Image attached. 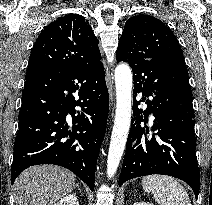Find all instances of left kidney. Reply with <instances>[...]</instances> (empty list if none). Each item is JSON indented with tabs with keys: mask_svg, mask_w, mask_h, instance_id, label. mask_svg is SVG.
Here are the masks:
<instances>
[{
	"mask_svg": "<svg viewBox=\"0 0 212 205\" xmlns=\"http://www.w3.org/2000/svg\"><path fill=\"white\" fill-rule=\"evenodd\" d=\"M134 205H154V204L146 203V202H136L134 203Z\"/></svg>",
	"mask_w": 212,
	"mask_h": 205,
	"instance_id": "left-kidney-1",
	"label": "left kidney"
}]
</instances>
